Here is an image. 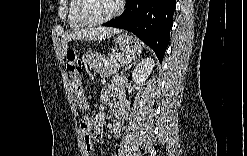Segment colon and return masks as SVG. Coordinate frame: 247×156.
I'll return each mask as SVG.
<instances>
[{
    "instance_id": "5ec220e1",
    "label": "colon",
    "mask_w": 247,
    "mask_h": 156,
    "mask_svg": "<svg viewBox=\"0 0 247 156\" xmlns=\"http://www.w3.org/2000/svg\"><path fill=\"white\" fill-rule=\"evenodd\" d=\"M93 111L99 112V107H94ZM96 121L97 116H86V121H84V135L89 139H96L100 136V129L92 127L95 126Z\"/></svg>"
}]
</instances>
